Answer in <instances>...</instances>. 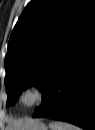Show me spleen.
Instances as JSON below:
<instances>
[{"mask_svg": "<svg viewBox=\"0 0 95 130\" xmlns=\"http://www.w3.org/2000/svg\"><path fill=\"white\" fill-rule=\"evenodd\" d=\"M49 128L50 130H80L79 127L62 121H52Z\"/></svg>", "mask_w": 95, "mask_h": 130, "instance_id": "obj_1", "label": "spleen"}]
</instances>
